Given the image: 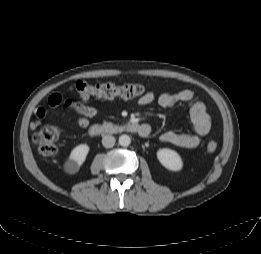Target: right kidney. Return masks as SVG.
Listing matches in <instances>:
<instances>
[{
	"label": "right kidney",
	"mask_w": 261,
	"mask_h": 254,
	"mask_svg": "<svg viewBox=\"0 0 261 254\" xmlns=\"http://www.w3.org/2000/svg\"><path fill=\"white\" fill-rule=\"evenodd\" d=\"M89 150L90 148L87 144H80L71 151L69 162L72 170H78L82 166L86 160Z\"/></svg>",
	"instance_id": "1"
}]
</instances>
